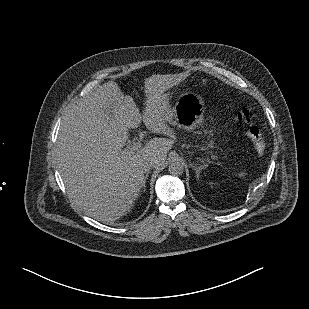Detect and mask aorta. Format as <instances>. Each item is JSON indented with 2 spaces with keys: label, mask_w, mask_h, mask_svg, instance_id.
<instances>
[{
  "label": "aorta",
  "mask_w": 309,
  "mask_h": 309,
  "mask_svg": "<svg viewBox=\"0 0 309 309\" xmlns=\"http://www.w3.org/2000/svg\"><path fill=\"white\" fill-rule=\"evenodd\" d=\"M185 169L184 161L182 159H175L169 165V173L174 176H180L183 174Z\"/></svg>",
  "instance_id": "obj_1"
}]
</instances>
